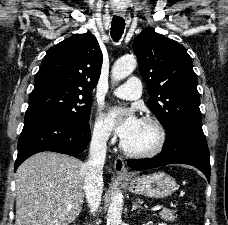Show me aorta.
Returning a JSON list of instances; mask_svg holds the SVG:
<instances>
[{
  "label": "aorta",
  "mask_w": 228,
  "mask_h": 225,
  "mask_svg": "<svg viewBox=\"0 0 228 225\" xmlns=\"http://www.w3.org/2000/svg\"><path fill=\"white\" fill-rule=\"evenodd\" d=\"M136 64L137 60L133 54H124L112 66V80L126 78L135 70ZM122 197L123 195L119 189L115 191V195H112L107 213V225H122Z\"/></svg>",
  "instance_id": "aorta-1"
}]
</instances>
